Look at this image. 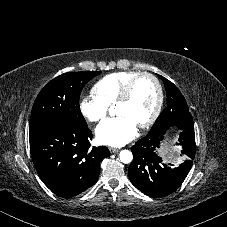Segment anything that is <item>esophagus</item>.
<instances>
[{
  "instance_id": "esophagus-1",
  "label": "esophagus",
  "mask_w": 227,
  "mask_h": 227,
  "mask_svg": "<svg viewBox=\"0 0 227 227\" xmlns=\"http://www.w3.org/2000/svg\"><path fill=\"white\" fill-rule=\"evenodd\" d=\"M109 150H110L111 153H117V152H119V149L118 148L110 147Z\"/></svg>"
}]
</instances>
